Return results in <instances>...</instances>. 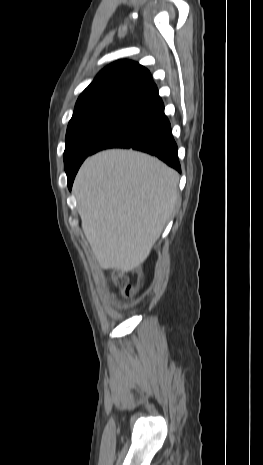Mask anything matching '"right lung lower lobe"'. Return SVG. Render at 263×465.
Listing matches in <instances>:
<instances>
[{
  "label": "right lung lower lobe",
  "instance_id": "98d812e1",
  "mask_svg": "<svg viewBox=\"0 0 263 465\" xmlns=\"http://www.w3.org/2000/svg\"><path fill=\"white\" fill-rule=\"evenodd\" d=\"M108 148H132L143 151L181 171L177 145L157 89L139 99L99 140L91 154ZM78 169L67 175L69 189Z\"/></svg>",
  "mask_w": 263,
  "mask_h": 465
}]
</instances>
